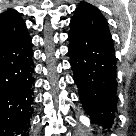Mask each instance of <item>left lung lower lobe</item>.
<instances>
[{
  "mask_svg": "<svg viewBox=\"0 0 136 136\" xmlns=\"http://www.w3.org/2000/svg\"><path fill=\"white\" fill-rule=\"evenodd\" d=\"M68 52L85 111L93 122L111 125L116 111V68L106 19L96 8L76 12L70 22Z\"/></svg>",
  "mask_w": 136,
  "mask_h": 136,
  "instance_id": "left-lung-lower-lobe-1",
  "label": "left lung lower lobe"
}]
</instances>
